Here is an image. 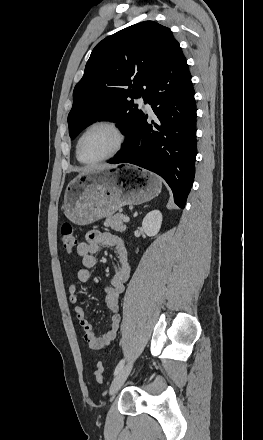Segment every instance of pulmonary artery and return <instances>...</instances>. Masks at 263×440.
Wrapping results in <instances>:
<instances>
[{
    "instance_id": "obj_1",
    "label": "pulmonary artery",
    "mask_w": 263,
    "mask_h": 440,
    "mask_svg": "<svg viewBox=\"0 0 263 440\" xmlns=\"http://www.w3.org/2000/svg\"><path fill=\"white\" fill-rule=\"evenodd\" d=\"M138 102H139L140 104L144 105V107H145L146 110L151 111V106H150V104L147 103L143 97H140V98L138 99Z\"/></svg>"
}]
</instances>
